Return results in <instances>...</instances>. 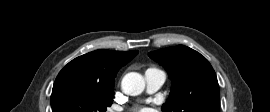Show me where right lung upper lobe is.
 I'll return each instance as SVG.
<instances>
[{
	"mask_svg": "<svg viewBox=\"0 0 270 112\" xmlns=\"http://www.w3.org/2000/svg\"><path fill=\"white\" fill-rule=\"evenodd\" d=\"M138 51L96 50L69 62L58 74L54 85L75 82L90 87L114 88L118 70L132 60Z\"/></svg>",
	"mask_w": 270,
	"mask_h": 112,
	"instance_id": "1",
	"label": "right lung upper lobe"
}]
</instances>
